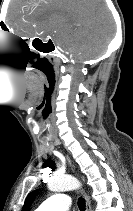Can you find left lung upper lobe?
<instances>
[{
	"label": "left lung upper lobe",
	"mask_w": 133,
	"mask_h": 211,
	"mask_svg": "<svg viewBox=\"0 0 133 211\" xmlns=\"http://www.w3.org/2000/svg\"><path fill=\"white\" fill-rule=\"evenodd\" d=\"M36 194H37V191H33V192H31L28 195V197L25 200V203H24V206L22 208V211H28L29 210V207L31 205V202L33 201V199L36 196Z\"/></svg>",
	"instance_id": "5c2ea615"
}]
</instances>
